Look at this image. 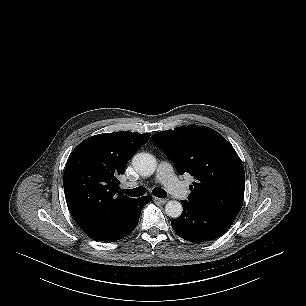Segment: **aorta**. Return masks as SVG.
<instances>
[{
  "label": "aorta",
  "instance_id": "1",
  "mask_svg": "<svg viewBox=\"0 0 306 306\" xmlns=\"http://www.w3.org/2000/svg\"><path fill=\"white\" fill-rule=\"evenodd\" d=\"M132 165L135 170L142 176H150L156 170V160L148 153H137L132 158ZM183 211L180 202L171 200L165 205V212L171 218H178L181 216Z\"/></svg>",
  "mask_w": 306,
  "mask_h": 306
}]
</instances>
